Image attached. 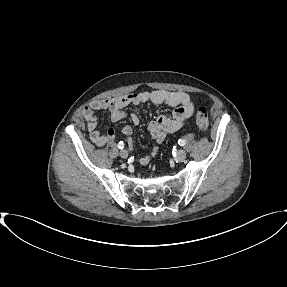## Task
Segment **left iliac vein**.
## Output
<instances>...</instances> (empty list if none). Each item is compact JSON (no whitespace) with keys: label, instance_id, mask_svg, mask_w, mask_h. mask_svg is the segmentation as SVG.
Returning a JSON list of instances; mask_svg holds the SVG:
<instances>
[{"label":"left iliac vein","instance_id":"1","mask_svg":"<svg viewBox=\"0 0 287 287\" xmlns=\"http://www.w3.org/2000/svg\"><path fill=\"white\" fill-rule=\"evenodd\" d=\"M186 157V152L184 150H178L177 153H176V159L178 161H183Z\"/></svg>","mask_w":287,"mask_h":287}]
</instances>
